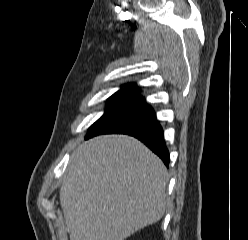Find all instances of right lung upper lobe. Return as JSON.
<instances>
[{"label": "right lung upper lobe", "mask_w": 248, "mask_h": 240, "mask_svg": "<svg viewBox=\"0 0 248 240\" xmlns=\"http://www.w3.org/2000/svg\"><path fill=\"white\" fill-rule=\"evenodd\" d=\"M139 92L140 91L135 84H127L124 89H120L115 93V95L131 97L139 102L144 100V98L140 96Z\"/></svg>", "instance_id": "right-lung-upper-lobe-1"}]
</instances>
